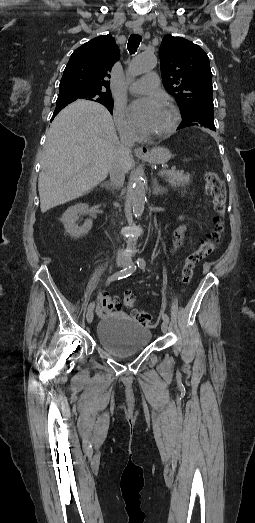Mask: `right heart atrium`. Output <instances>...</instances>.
<instances>
[{
  "mask_svg": "<svg viewBox=\"0 0 255 523\" xmlns=\"http://www.w3.org/2000/svg\"><path fill=\"white\" fill-rule=\"evenodd\" d=\"M113 119L119 133L124 138L134 139L137 136L136 127L128 118L126 108L123 103H116L114 105Z\"/></svg>",
  "mask_w": 255,
  "mask_h": 523,
  "instance_id": "obj_1",
  "label": "right heart atrium"
}]
</instances>
